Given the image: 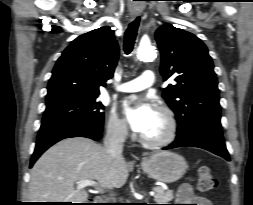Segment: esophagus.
<instances>
[{
    "instance_id": "1",
    "label": "esophagus",
    "mask_w": 253,
    "mask_h": 205,
    "mask_svg": "<svg viewBox=\"0 0 253 205\" xmlns=\"http://www.w3.org/2000/svg\"><path fill=\"white\" fill-rule=\"evenodd\" d=\"M137 16H138V13H136V12L131 13V18L132 19H135Z\"/></svg>"
}]
</instances>
